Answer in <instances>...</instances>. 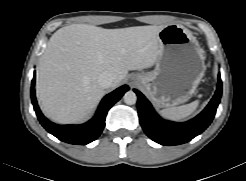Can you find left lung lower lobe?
<instances>
[{
  "label": "left lung lower lobe",
  "instance_id": "left-lung-lower-lobe-1",
  "mask_svg": "<svg viewBox=\"0 0 246 181\" xmlns=\"http://www.w3.org/2000/svg\"><path fill=\"white\" fill-rule=\"evenodd\" d=\"M138 114L146 135L161 145H179L192 140L202 133L212 122L222 95V82L218 75L217 90L206 108L195 118L176 123L162 119L154 111L150 102L138 90Z\"/></svg>",
  "mask_w": 246,
  "mask_h": 181
}]
</instances>
